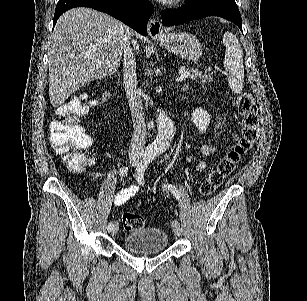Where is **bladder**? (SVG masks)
Here are the masks:
<instances>
[{"label": "bladder", "mask_w": 307, "mask_h": 301, "mask_svg": "<svg viewBox=\"0 0 307 301\" xmlns=\"http://www.w3.org/2000/svg\"><path fill=\"white\" fill-rule=\"evenodd\" d=\"M126 250L140 253H155L166 250L168 237L164 230L157 228H144L136 232H130L122 239Z\"/></svg>", "instance_id": "obj_1"}]
</instances>
